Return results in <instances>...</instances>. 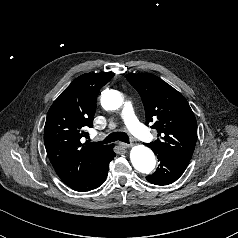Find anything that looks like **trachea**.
Listing matches in <instances>:
<instances>
[{
  "mask_svg": "<svg viewBox=\"0 0 238 238\" xmlns=\"http://www.w3.org/2000/svg\"><path fill=\"white\" fill-rule=\"evenodd\" d=\"M122 141L125 143H129V137L125 132H113L109 134L103 141H101V144H107L115 141Z\"/></svg>",
  "mask_w": 238,
  "mask_h": 238,
  "instance_id": "3493384b",
  "label": "trachea"
}]
</instances>
